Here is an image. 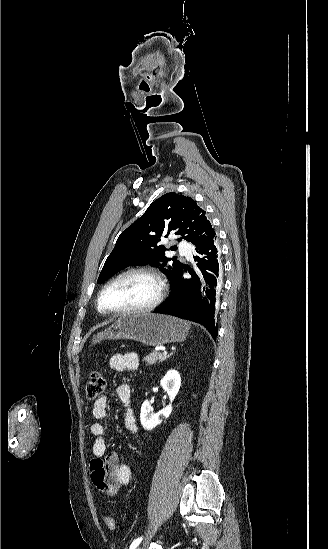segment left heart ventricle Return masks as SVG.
Segmentation results:
<instances>
[{"label":"left heart ventricle","instance_id":"b2bd125f","mask_svg":"<svg viewBox=\"0 0 328 549\" xmlns=\"http://www.w3.org/2000/svg\"><path fill=\"white\" fill-rule=\"evenodd\" d=\"M157 293L156 282L143 273H129L111 285L103 296L106 309L120 311L149 303Z\"/></svg>","mask_w":328,"mask_h":549}]
</instances>
